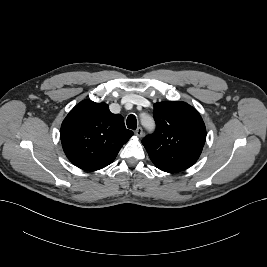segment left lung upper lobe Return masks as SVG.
Listing matches in <instances>:
<instances>
[{
    "label": "left lung upper lobe",
    "mask_w": 267,
    "mask_h": 267,
    "mask_svg": "<svg viewBox=\"0 0 267 267\" xmlns=\"http://www.w3.org/2000/svg\"><path fill=\"white\" fill-rule=\"evenodd\" d=\"M156 131L143 138L152 162L161 170L182 171L199 158L206 128L196 109L185 102L154 104Z\"/></svg>",
    "instance_id": "left-lung-upper-lobe-1"
}]
</instances>
